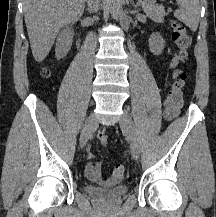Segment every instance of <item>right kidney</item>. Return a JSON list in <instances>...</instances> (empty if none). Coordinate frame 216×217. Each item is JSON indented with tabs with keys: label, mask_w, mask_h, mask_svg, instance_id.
Wrapping results in <instances>:
<instances>
[{
	"label": "right kidney",
	"mask_w": 216,
	"mask_h": 217,
	"mask_svg": "<svg viewBox=\"0 0 216 217\" xmlns=\"http://www.w3.org/2000/svg\"><path fill=\"white\" fill-rule=\"evenodd\" d=\"M73 42V32L70 28L63 29L58 35L56 42V57L63 58L69 52Z\"/></svg>",
	"instance_id": "obj_1"
}]
</instances>
